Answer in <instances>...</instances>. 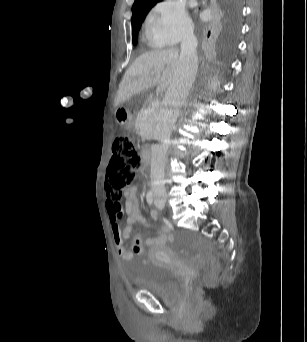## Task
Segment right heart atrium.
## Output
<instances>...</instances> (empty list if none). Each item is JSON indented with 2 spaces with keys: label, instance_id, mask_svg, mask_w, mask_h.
<instances>
[{
  "label": "right heart atrium",
  "instance_id": "right-heart-atrium-1",
  "mask_svg": "<svg viewBox=\"0 0 307 342\" xmlns=\"http://www.w3.org/2000/svg\"><path fill=\"white\" fill-rule=\"evenodd\" d=\"M142 32L158 45L171 47L189 36L192 27L180 10L172 5H161L147 18Z\"/></svg>",
  "mask_w": 307,
  "mask_h": 342
}]
</instances>
